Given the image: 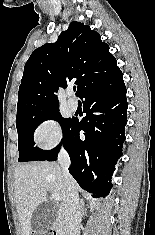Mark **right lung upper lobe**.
Wrapping results in <instances>:
<instances>
[{
    "mask_svg": "<svg viewBox=\"0 0 155 235\" xmlns=\"http://www.w3.org/2000/svg\"><path fill=\"white\" fill-rule=\"evenodd\" d=\"M109 46L89 26L74 21L56 43L37 48L24 67L19 86L17 116L31 111L59 108V86L75 80L76 94L119 68Z\"/></svg>",
    "mask_w": 155,
    "mask_h": 235,
    "instance_id": "obj_1",
    "label": "right lung upper lobe"
}]
</instances>
